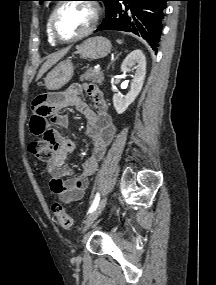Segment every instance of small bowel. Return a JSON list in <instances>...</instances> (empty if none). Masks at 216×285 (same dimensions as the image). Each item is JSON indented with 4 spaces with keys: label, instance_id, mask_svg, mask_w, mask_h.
<instances>
[{
    "label": "small bowel",
    "instance_id": "obj_1",
    "mask_svg": "<svg viewBox=\"0 0 216 285\" xmlns=\"http://www.w3.org/2000/svg\"><path fill=\"white\" fill-rule=\"evenodd\" d=\"M84 95L93 101L95 110L84 101ZM68 106L75 107L85 116V134L92 140L93 145L91 156L82 163V174L74 179H67L72 175V170L66 165V161L76 148L75 142L48 127L50 117L57 127L63 128L69 124L67 115L54 113ZM30 128L35 136H39V141L54 147V158L46 163L45 167L50 176L49 188L52 194L65 203L80 200L88 187L89 177L96 172L98 163L105 156L116 131L100 90L93 84L76 83L46 100L37 98L32 104Z\"/></svg>",
    "mask_w": 216,
    "mask_h": 285
}]
</instances>
